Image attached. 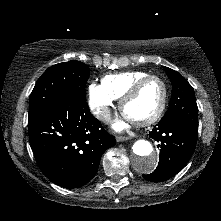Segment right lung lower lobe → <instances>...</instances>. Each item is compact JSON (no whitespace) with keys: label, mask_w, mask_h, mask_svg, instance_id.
<instances>
[{"label":"right lung lower lobe","mask_w":221,"mask_h":221,"mask_svg":"<svg viewBox=\"0 0 221 221\" xmlns=\"http://www.w3.org/2000/svg\"><path fill=\"white\" fill-rule=\"evenodd\" d=\"M30 145L43 174L55 184L78 188L96 174L102 154L116 144L84 99L71 96L28 124Z\"/></svg>","instance_id":"98d812e1"}]
</instances>
